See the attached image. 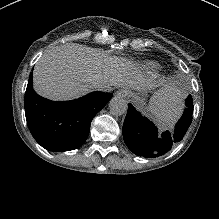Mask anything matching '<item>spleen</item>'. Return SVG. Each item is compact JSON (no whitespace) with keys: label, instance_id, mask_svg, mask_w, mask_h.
I'll return each instance as SVG.
<instances>
[{"label":"spleen","instance_id":"1","mask_svg":"<svg viewBox=\"0 0 219 219\" xmlns=\"http://www.w3.org/2000/svg\"><path fill=\"white\" fill-rule=\"evenodd\" d=\"M176 114H178V110L159 107L150 114V119L159 129H164L172 125V121L177 116Z\"/></svg>","mask_w":219,"mask_h":219}]
</instances>
